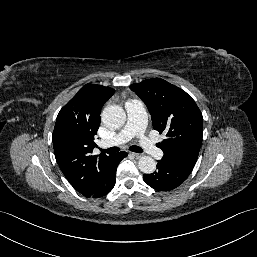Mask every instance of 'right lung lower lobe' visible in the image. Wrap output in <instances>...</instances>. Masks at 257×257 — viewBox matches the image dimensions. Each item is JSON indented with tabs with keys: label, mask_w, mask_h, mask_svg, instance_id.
Instances as JSON below:
<instances>
[{
	"label": "right lung lower lobe",
	"mask_w": 257,
	"mask_h": 257,
	"mask_svg": "<svg viewBox=\"0 0 257 257\" xmlns=\"http://www.w3.org/2000/svg\"><path fill=\"white\" fill-rule=\"evenodd\" d=\"M126 156H127V153L124 151L111 155L104 166V170L101 175L100 182L98 183L96 189L92 193L84 196L88 198L89 197L100 198L108 194L115 185V175H116L117 166L119 162Z\"/></svg>",
	"instance_id": "1"
}]
</instances>
